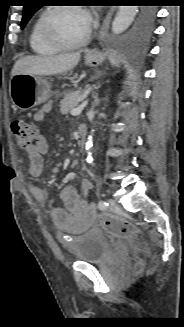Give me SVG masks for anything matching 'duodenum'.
<instances>
[{"mask_svg": "<svg viewBox=\"0 0 184 327\" xmlns=\"http://www.w3.org/2000/svg\"><path fill=\"white\" fill-rule=\"evenodd\" d=\"M79 136H80L81 144L82 146H84L87 140V130L84 126L79 127Z\"/></svg>", "mask_w": 184, "mask_h": 327, "instance_id": "1", "label": "duodenum"}]
</instances>
